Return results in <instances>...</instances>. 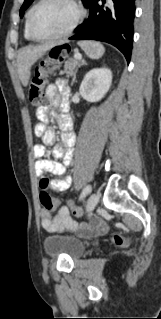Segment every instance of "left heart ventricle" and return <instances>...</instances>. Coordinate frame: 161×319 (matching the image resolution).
Returning <instances> with one entry per match:
<instances>
[{
    "mask_svg": "<svg viewBox=\"0 0 161 319\" xmlns=\"http://www.w3.org/2000/svg\"><path fill=\"white\" fill-rule=\"evenodd\" d=\"M74 13V8L66 0H49L37 11L33 31L39 37L58 34L69 25Z\"/></svg>",
    "mask_w": 161,
    "mask_h": 319,
    "instance_id": "obj_1",
    "label": "left heart ventricle"
}]
</instances>
